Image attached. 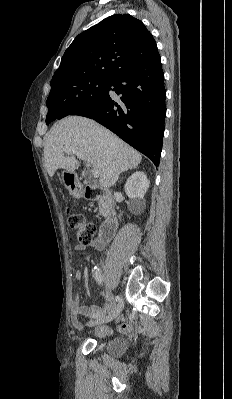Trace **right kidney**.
Masks as SVG:
<instances>
[{"label": "right kidney", "instance_id": "right-kidney-1", "mask_svg": "<svg viewBox=\"0 0 232 399\" xmlns=\"http://www.w3.org/2000/svg\"><path fill=\"white\" fill-rule=\"evenodd\" d=\"M149 180L144 172H135L125 184V192L139 209H145L144 196L149 188Z\"/></svg>", "mask_w": 232, "mask_h": 399}]
</instances>
